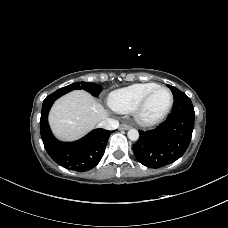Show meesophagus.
<instances>
[{"instance_id": "34e87169", "label": "esophagus", "mask_w": 228, "mask_h": 228, "mask_svg": "<svg viewBox=\"0 0 228 228\" xmlns=\"http://www.w3.org/2000/svg\"><path fill=\"white\" fill-rule=\"evenodd\" d=\"M130 128H131V126L128 125V124H121V125H120V129H121V130H128V129H130Z\"/></svg>"}]
</instances>
